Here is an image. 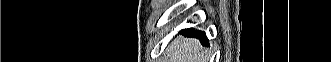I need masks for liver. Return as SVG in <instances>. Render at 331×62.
<instances>
[{"instance_id":"liver-1","label":"liver","mask_w":331,"mask_h":62,"mask_svg":"<svg viewBox=\"0 0 331 62\" xmlns=\"http://www.w3.org/2000/svg\"><path fill=\"white\" fill-rule=\"evenodd\" d=\"M201 49L196 39L178 37L167 49L168 62H206Z\"/></svg>"}]
</instances>
